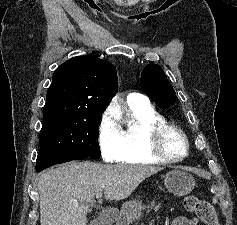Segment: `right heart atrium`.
<instances>
[{
	"mask_svg": "<svg viewBox=\"0 0 237 225\" xmlns=\"http://www.w3.org/2000/svg\"><path fill=\"white\" fill-rule=\"evenodd\" d=\"M97 140L102 158L106 162H117L123 151L122 132L108 112H105L99 120Z\"/></svg>",
	"mask_w": 237,
	"mask_h": 225,
	"instance_id": "1",
	"label": "right heart atrium"
}]
</instances>
